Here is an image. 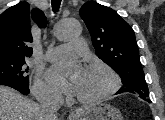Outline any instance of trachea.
I'll list each match as a JSON object with an SVG mask.
<instances>
[{
  "label": "trachea",
  "mask_w": 165,
  "mask_h": 120,
  "mask_svg": "<svg viewBox=\"0 0 165 120\" xmlns=\"http://www.w3.org/2000/svg\"><path fill=\"white\" fill-rule=\"evenodd\" d=\"M53 12H58L61 4V0H51Z\"/></svg>",
  "instance_id": "1"
}]
</instances>
